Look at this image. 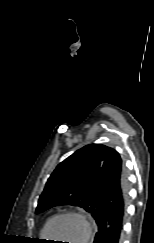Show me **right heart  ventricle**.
<instances>
[{"label":"right heart ventricle","mask_w":154,"mask_h":243,"mask_svg":"<svg viewBox=\"0 0 154 243\" xmlns=\"http://www.w3.org/2000/svg\"><path fill=\"white\" fill-rule=\"evenodd\" d=\"M46 224H47V223H46ZM45 227H46V225L44 226V228H43V230H42V232H41V235H42V236H45V234H44V233H45Z\"/></svg>","instance_id":"e07e8e85"}]
</instances>
